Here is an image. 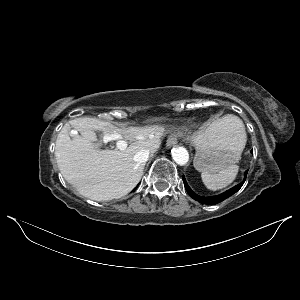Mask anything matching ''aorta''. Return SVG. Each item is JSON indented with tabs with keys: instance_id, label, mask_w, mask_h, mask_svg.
Returning <instances> with one entry per match:
<instances>
[{
	"instance_id": "762f6f07",
	"label": "aorta",
	"mask_w": 300,
	"mask_h": 300,
	"mask_svg": "<svg viewBox=\"0 0 300 300\" xmlns=\"http://www.w3.org/2000/svg\"><path fill=\"white\" fill-rule=\"evenodd\" d=\"M173 160L178 165H185L189 160V153L184 147H174L171 151Z\"/></svg>"
}]
</instances>
